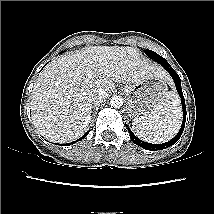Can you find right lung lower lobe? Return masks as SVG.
I'll return each mask as SVG.
<instances>
[{
	"mask_svg": "<svg viewBox=\"0 0 214 214\" xmlns=\"http://www.w3.org/2000/svg\"><path fill=\"white\" fill-rule=\"evenodd\" d=\"M87 134H88V132L84 136H82L81 138H79L78 140H76L74 142H71V143H66L65 146H69V145L74 144L75 142H77L79 140H82L83 138H85L87 136Z\"/></svg>",
	"mask_w": 214,
	"mask_h": 214,
	"instance_id": "right-lung-lower-lobe-1",
	"label": "right lung lower lobe"
}]
</instances>
